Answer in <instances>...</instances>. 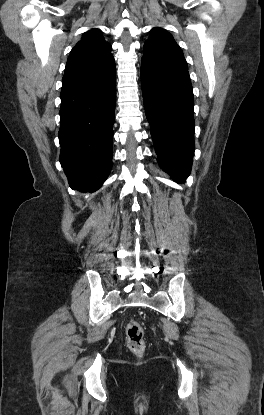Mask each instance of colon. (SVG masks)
I'll return each mask as SVG.
<instances>
[{
    "mask_svg": "<svg viewBox=\"0 0 264 415\" xmlns=\"http://www.w3.org/2000/svg\"><path fill=\"white\" fill-rule=\"evenodd\" d=\"M127 343L132 352L141 354L145 348L144 330L135 319H130L126 325Z\"/></svg>",
    "mask_w": 264,
    "mask_h": 415,
    "instance_id": "colon-1",
    "label": "colon"
}]
</instances>
